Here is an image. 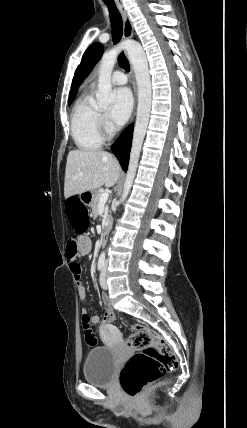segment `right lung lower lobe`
Segmentation results:
<instances>
[{
    "instance_id": "1",
    "label": "right lung lower lobe",
    "mask_w": 247,
    "mask_h": 428,
    "mask_svg": "<svg viewBox=\"0 0 247 428\" xmlns=\"http://www.w3.org/2000/svg\"><path fill=\"white\" fill-rule=\"evenodd\" d=\"M132 128L128 127L112 146V151L124 171L127 170L131 148Z\"/></svg>"
}]
</instances>
